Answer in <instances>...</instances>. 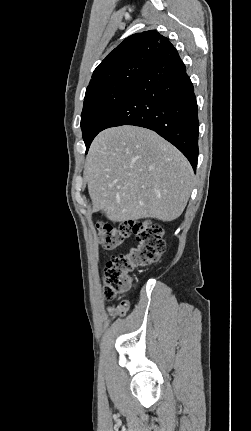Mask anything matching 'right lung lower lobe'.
<instances>
[{
	"label": "right lung lower lobe",
	"instance_id": "obj_1",
	"mask_svg": "<svg viewBox=\"0 0 251 431\" xmlns=\"http://www.w3.org/2000/svg\"><path fill=\"white\" fill-rule=\"evenodd\" d=\"M135 125L151 129L177 147L194 171L198 159V108L193 84L177 51L152 53L137 85L104 129Z\"/></svg>",
	"mask_w": 251,
	"mask_h": 431
}]
</instances>
